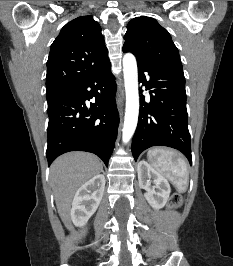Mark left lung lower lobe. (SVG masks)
Wrapping results in <instances>:
<instances>
[{
  "label": "left lung lower lobe",
  "mask_w": 233,
  "mask_h": 266,
  "mask_svg": "<svg viewBox=\"0 0 233 266\" xmlns=\"http://www.w3.org/2000/svg\"><path fill=\"white\" fill-rule=\"evenodd\" d=\"M137 64L139 81L151 91L149 100L140 97L138 125L132 141L135 161L145 149L161 145L178 149L192 165L183 70ZM145 73L149 81H145Z\"/></svg>",
  "instance_id": "0a47b994"
}]
</instances>
